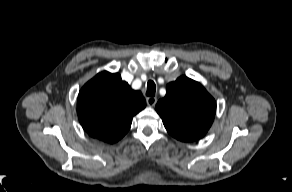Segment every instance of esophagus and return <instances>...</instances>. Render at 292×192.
<instances>
[{"label":"esophagus","mask_w":292,"mask_h":192,"mask_svg":"<svg viewBox=\"0 0 292 192\" xmlns=\"http://www.w3.org/2000/svg\"><path fill=\"white\" fill-rule=\"evenodd\" d=\"M146 102H147V105H149V106H155L157 103V98L156 97H147Z\"/></svg>","instance_id":"esophagus-1"}]
</instances>
